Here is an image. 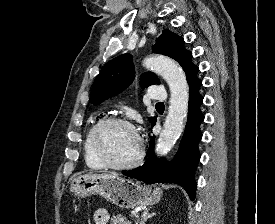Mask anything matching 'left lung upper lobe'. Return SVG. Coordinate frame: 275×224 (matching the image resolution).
Masks as SVG:
<instances>
[{
  "label": "left lung upper lobe",
  "instance_id": "left-lung-upper-lobe-1",
  "mask_svg": "<svg viewBox=\"0 0 275 224\" xmlns=\"http://www.w3.org/2000/svg\"><path fill=\"white\" fill-rule=\"evenodd\" d=\"M152 51L176 60L185 71L187 78L198 69L192 63V53L184 48V39L169 30H164L158 37ZM133 79L132 56L126 53L114 58L103 66L96 77L92 86L91 102L98 105L109 97L117 95L127 88ZM159 83L157 76L151 72L144 73L140 77L142 88ZM156 118V116L149 118L151 124L156 121Z\"/></svg>",
  "mask_w": 275,
  "mask_h": 224
}]
</instances>
